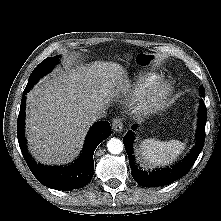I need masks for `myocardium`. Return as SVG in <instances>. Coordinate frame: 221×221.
<instances>
[{"label":"myocardium","mask_w":221,"mask_h":221,"mask_svg":"<svg viewBox=\"0 0 221 221\" xmlns=\"http://www.w3.org/2000/svg\"><path fill=\"white\" fill-rule=\"evenodd\" d=\"M173 93V84L166 79H160L150 85L140 102V111L149 114L161 109Z\"/></svg>","instance_id":"obj_1"}]
</instances>
